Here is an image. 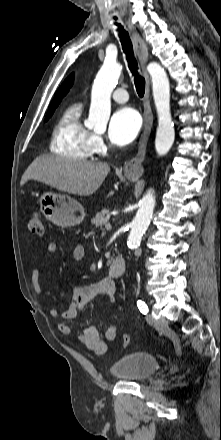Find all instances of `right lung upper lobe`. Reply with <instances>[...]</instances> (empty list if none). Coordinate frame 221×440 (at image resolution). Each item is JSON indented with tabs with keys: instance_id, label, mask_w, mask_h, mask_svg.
I'll return each instance as SVG.
<instances>
[{
	"instance_id": "right-lung-upper-lobe-1",
	"label": "right lung upper lobe",
	"mask_w": 221,
	"mask_h": 440,
	"mask_svg": "<svg viewBox=\"0 0 221 440\" xmlns=\"http://www.w3.org/2000/svg\"><path fill=\"white\" fill-rule=\"evenodd\" d=\"M73 80H74V74H71L69 77L66 78V80L62 83V85L58 88L57 92L55 93V96L48 110L58 106L63 96L66 95V93L69 91V88L72 86Z\"/></svg>"
}]
</instances>
